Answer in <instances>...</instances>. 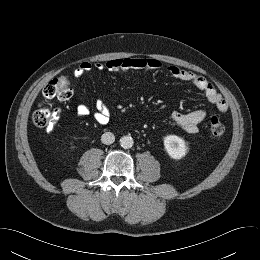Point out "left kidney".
<instances>
[{
	"instance_id": "5707ae66",
	"label": "left kidney",
	"mask_w": 260,
	"mask_h": 260,
	"mask_svg": "<svg viewBox=\"0 0 260 260\" xmlns=\"http://www.w3.org/2000/svg\"><path fill=\"white\" fill-rule=\"evenodd\" d=\"M164 147L172 159L179 160L189 151L186 142L176 135H168L164 138Z\"/></svg>"
}]
</instances>
